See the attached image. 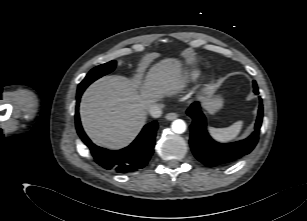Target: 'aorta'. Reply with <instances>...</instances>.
Here are the masks:
<instances>
[{
	"label": "aorta",
	"mask_w": 307,
	"mask_h": 221,
	"mask_svg": "<svg viewBox=\"0 0 307 221\" xmlns=\"http://www.w3.org/2000/svg\"><path fill=\"white\" fill-rule=\"evenodd\" d=\"M171 129L177 134H182L186 130V123L181 119H176L172 122Z\"/></svg>",
	"instance_id": "762f6f07"
}]
</instances>
